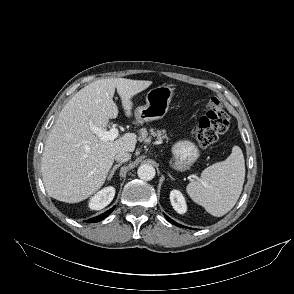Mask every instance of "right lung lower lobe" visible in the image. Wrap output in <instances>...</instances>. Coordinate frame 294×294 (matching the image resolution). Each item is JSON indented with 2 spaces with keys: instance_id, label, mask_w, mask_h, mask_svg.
Segmentation results:
<instances>
[{
  "instance_id": "98d812e1",
  "label": "right lung lower lobe",
  "mask_w": 294,
  "mask_h": 294,
  "mask_svg": "<svg viewBox=\"0 0 294 294\" xmlns=\"http://www.w3.org/2000/svg\"><path fill=\"white\" fill-rule=\"evenodd\" d=\"M113 210H114V207L111 208L110 210H108L107 212L97 216V217H94L92 219L87 220L86 222L95 223V222L101 221V220L105 219Z\"/></svg>"
}]
</instances>
